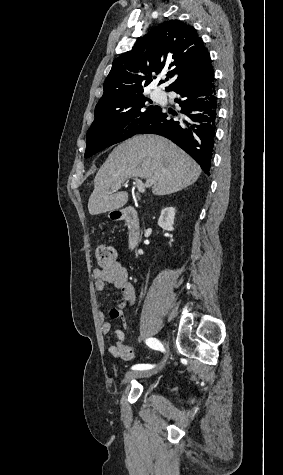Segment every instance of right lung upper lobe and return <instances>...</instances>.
Returning a JSON list of instances; mask_svg holds the SVG:
<instances>
[{
  "label": "right lung upper lobe",
  "instance_id": "obj_1",
  "mask_svg": "<svg viewBox=\"0 0 283 475\" xmlns=\"http://www.w3.org/2000/svg\"><path fill=\"white\" fill-rule=\"evenodd\" d=\"M211 69L209 52L194 27L178 20L166 21L113 61L95 108L142 95L143 86L156 79L155 74L167 73L170 82L165 89L169 91L179 82Z\"/></svg>",
  "mask_w": 283,
  "mask_h": 475
}]
</instances>
